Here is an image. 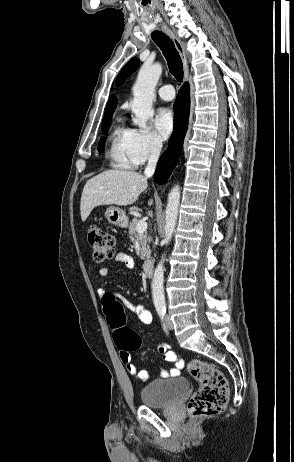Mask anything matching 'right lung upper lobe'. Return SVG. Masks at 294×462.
I'll use <instances>...</instances> for the list:
<instances>
[{"label": "right lung upper lobe", "mask_w": 294, "mask_h": 462, "mask_svg": "<svg viewBox=\"0 0 294 462\" xmlns=\"http://www.w3.org/2000/svg\"><path fill=\"white\" fill-rule=\"evenodd\" d=\"M116 103H117L116 97L114 95L111 96L106 106V111H105L106 116L111 115V113L114 112V110L116 109Z\"/></svg>", "instance_id": "right-lung-upper-lobe-1"}]
</instances>
